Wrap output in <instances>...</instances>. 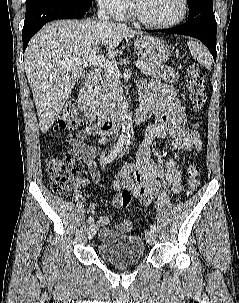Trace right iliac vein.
<instances>
[{"label":"right iliac vein","instance_id":"obj_1","mask_svg":"<svg viewBox=\"0 0 239 303\" xmlns=\"http://www.w3.org/2000/svg\"><path fill=\"white\" fill-rule=\"evenodd\" d=\"M97 231V226L95 224H91L87 228V238L92 239Z\"/></svg>","mask_w":239,"mask_h":303}]
</instances>
